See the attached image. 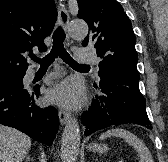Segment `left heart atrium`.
Listing matches in <instances>:
<instances>
[{"label":"left heart atrium","mask_w":168,"mask_h":162,"mask_svg":"<svg viewBox=\"0 0 168 162\" xmlns=\"http://www.w3.org/2000/svg\"><path fill=\"white\" fill-rule=\"evenodd\" d=\"M48 97L53 102L69 107H77L82 103L84 93L82 85L79 81L75 79H68L51 89Z\"/></svg>","instance_id":"left-heart-atrium-1"}]
</instances>
